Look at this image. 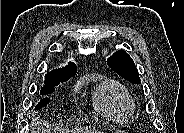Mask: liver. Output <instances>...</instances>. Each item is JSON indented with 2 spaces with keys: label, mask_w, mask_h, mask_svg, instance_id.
I'll use <instances>...</instances> for the list:
<instances>
[{
  "label": "liver",
  "mask_w": 184,
  "mask_h": 133,
  "mask_svg": "<svg viewBox=\"0 0 184 133\" xmlns=\"http://www.w3.org/2000/svg\"><path fill=\"white\" fill-rule=\"evenodd\" d=\"M46 131V130H45ZM71 133H99L97 130L95 129H85V130H82V129H74V130H71L70 131Z\"/></svg>",
  "instance_id": "obj_1"
}]
</instances>
